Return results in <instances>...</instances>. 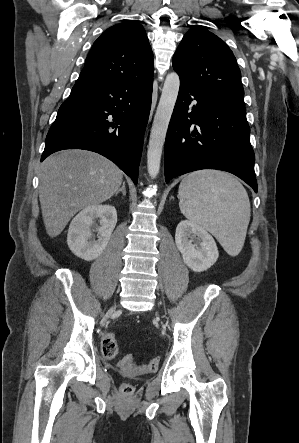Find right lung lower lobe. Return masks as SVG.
<instances>
[{"label": "right lung lower lobe", "mask_w": 299, "mask_h": 443, "mask_svg": "<svg viewBox=\"0 0 299 443\" xmlns=\"http://www.w3.org/2000/svg\"><path fill=\"white\" fill-rule=\"evenodd\" d=\"M153 75L97 86H74L60 106L41 157L63 149L97 152L137 184Z\"/></svg>", "instance_id": "obj_1"}]
</instances>
